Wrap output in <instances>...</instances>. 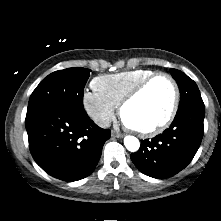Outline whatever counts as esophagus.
I'll return each mask as SVG.
<instances>
[{
    "label": "esophagus",
    "instance_id": "esophagus-1",
    "mask_svg": "<svg viewBox=\"0 0 221 221\" xmlns=\"http://www.w3.org/2000/svg\"><path fill=\"white\" fill-rule=\"evenodd\" d=\"M112 136H113V137H116V138H122V137H123V134L118 133V132H116V131H112Z\"/></svg>",
    "mask_w": 221,
    "mask_h": 221
}]
</instances>
